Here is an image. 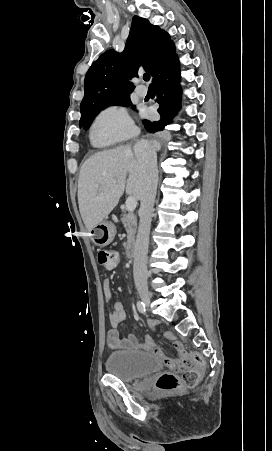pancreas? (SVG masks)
<instances>
[{"mask_svg": "<svg viewBox=\"0 0 272 451\" xmlns=\"http://www.w3.org/2000/svg\"><path fill=\"white\" fill-rule=\"evenodd\" d=\"M121 222L124 227H126L127 235V243L125 245L126 249L132 247L135 241V233L137 229L136 220L134 218V214H124L123 218H121Z\"/></svg>", "mask_w": 272, "mask_h": 451, "instance_id": "pancreas-1", "label": "pancreas"}]
</instances>
